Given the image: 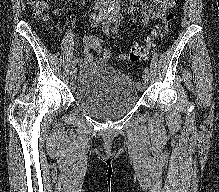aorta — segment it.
<instances>
[{"mask_svg": "<svg viewBox=\"0 0 219 192\" xmlns=\"http://www.w3.org/2000/svg\"><path fill=\"white\" fill-rule=\"evenodd\" d=\"M111 5H119L121 3V0H109Z\"/></svg>", "mask_w": 219, "mask_h": 192, "instance_id": "762f6f07", "label": "aorta"}]
</instances>
